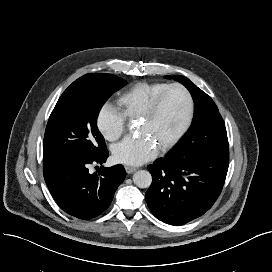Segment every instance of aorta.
I'll return each instance as SVG.
<instances>
[{
  "label": "aorta",
  "instance_id": "aorta-1",
  "mask_svg": "<svg viewBox=\"0 0 272 272\" xmlns=\"http://www.w3.org/2000/svg\"><path fill=\"white\" fill-rule=\"evenodd\" d=\"M133 182L139 188H147L152 183V176L149 171L139 170L133 174Z\"/></svg>",
  "mask_w": 272,
  "mask_h": 272
}]
</instances>
